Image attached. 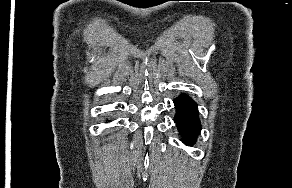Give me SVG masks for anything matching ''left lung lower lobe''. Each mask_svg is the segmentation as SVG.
<instances>
[{
  "label": "left lung lower lobe",
  "mask_w": 292,
  "mask_h": 188,
  "mask_svg": "<svg viewBox=\"0 0 292 188\" xmlns=\"http://www.w3.org/2000/svg\"><path fill=\"white\" fill-rule=\"evenodd\" d=\"M174 105L177 111L174 121L177 124L182 141L186 145L194 144L201 131L197 105L184 94L174 100Z\"/></svg>",
  "instance_id": "0a47b994"
}]
</instances>
